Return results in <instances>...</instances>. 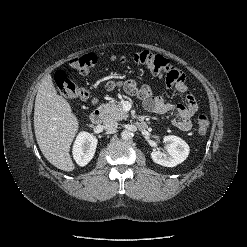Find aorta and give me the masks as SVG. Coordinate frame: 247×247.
<instances>
[{
    "mask_svg": "<svg viewBox=\"0 0 247 247\" xmlns=\"http://www.w3.org/2000/svg\"><path fill=\"white\" fill-rule=\"evenodd\" d=\"M131 136H132V133L128 130H124L121 132V138L123 140H129L131 138Z\"/></svg>",
    "mask_w": 247,
    "mask_h": 247,
    "instance_id": "762f6f07",
    "label": "aorta"
}]
</instances>
